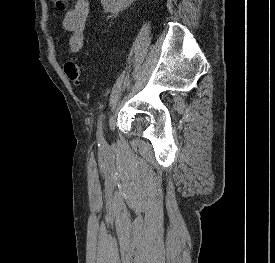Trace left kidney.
<instances>
[{
	"instance_id": "1",
	"label": "left kidney",
	"mask_w": 275,
	"mask_h": 263,
	"mask_svg": "<svg viewBox=\"0 0 275 263\" xmlns=\"http://www.w3.org/2000/svg\"><path fill=\"white\" fill-rule=\"evenodd\" d=\"M134 0H101L105 11L118 14L126 9Z\"/></svg>"
}]
</instances>
